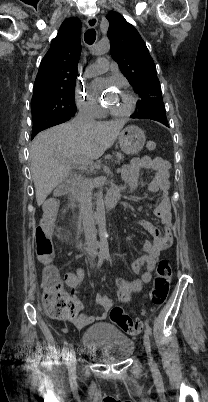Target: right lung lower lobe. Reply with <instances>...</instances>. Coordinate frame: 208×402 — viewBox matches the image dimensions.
I'll return each instance as SVG.
<instances>
[{"label":"right lung lower lobe","mask_w":208,"mask_h":402,"mask_svg":"<svg viewBox=\"0 0 208 402\" xmlns=\"http://www.w3.org/2000/svg\"><path fill=\"white\" fill-rule=\"evenodd\" d=\"M69 119H71V117L59 118L57 116H41L33 119V131L31 139H33L40 131L64 123Z\"/></svg>","instance_id":"98d812e1"}]
</instances>
